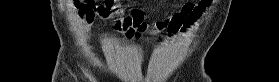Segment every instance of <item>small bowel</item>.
<instances>
[{
  "instance_id": "c3829d8e",
  "label": "small bowel",
  "mask_w": 279,
  "mask_h": 82,
  "mask_svg": "<svg viewBox=\"0 0 279 82\" xmlns=\"http://www.w3.org/2000/svg\"><path fill=\"white\" fill-rule=\"evenodd\" d=\"M116 2L113 0L105 1L103 7H96L94 4L84 3L82 6L75 3L78 7L79 18L82 26L87 30L96 16L107 19L113 18L114 27L123 31L125 36L129 39L140 37L143 31L148 30L149 25L142 22L138 29H133L130 25L125 24L120 12L113 13L116 9ZM211 1H200L199 3H188L184 5L179 14H169L164 20L156 24L159 30H167L168 36H174L177 33H183L186 28L202 16L203 12L210 6ZM183 25V27H182ZM110 48V45H107Z\"/></svg>"
}]
</instances>
